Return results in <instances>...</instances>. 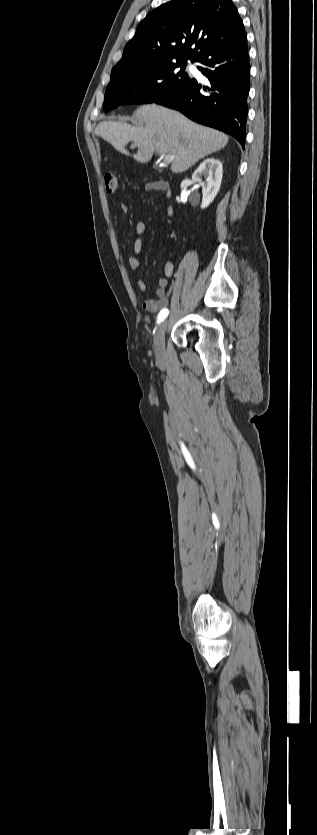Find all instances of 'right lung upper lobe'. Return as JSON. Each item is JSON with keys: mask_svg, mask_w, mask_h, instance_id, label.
<instances>
[{"mask_svg": "<svg viewBox=\"0 0 317 835\" xmlns=\"http://www.w3.org/2000/svg\"><path fill=\"white\" fill-rule=\"evenodd\" d=\"M243 39V22L231 0H173L141 21L112 71L194 62L207 52Z\"/></svg>", "mask_w": 317, "mask_h": 835, "instance_id": "right-lung-upper-lobe-1", "label": "right lung upper lobe"}]
</instances>
